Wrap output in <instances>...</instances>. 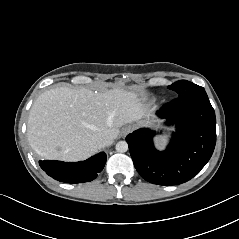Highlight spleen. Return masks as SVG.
Instances as JSON below:
<instances>
[{
	"mask_svg": "<svg viewBox=\"0 0 239 239\" xmlns=\"http://www.w3.org/2000/svg\"><path fill=\"white\" fill-rule=\"evenodd\" d=\"M157 144L159 147H163L165 145V139L162 137L157 138Z\"/></svg>",
	"mask_w": 239,
	"mask_h": 239,
	"instance_id": "1",
	"label": "spleen"
}]
</instances>
